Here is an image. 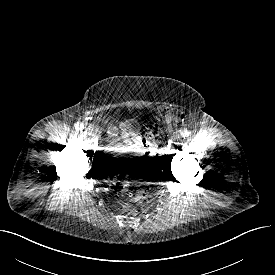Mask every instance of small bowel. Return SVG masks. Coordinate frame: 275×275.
Instances as JSON below:
<instances>
[{"label":"small bowel","instance_id":"c3829d8e","mask_svg":"<svg viewBox=\"0 0 275 275\" xmlns=\"http://www.w3.org/2000/svg\"><path fill=\"white\" fill-rule=\"evenodd\" d=\"M120 135L123 139L136 141L138 140V130L131 121L121 122L118 126H112L108 130V137L111 141L116 142V137Z\"/></svg>","mask_w":275,"mask_h":275}]
</instances>
